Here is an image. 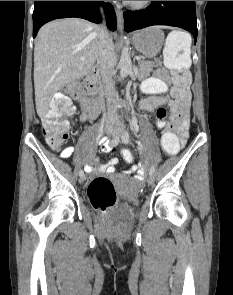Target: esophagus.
<instances>
[{
    "mask_svg": "<svg viewBox=\"0 0 233 295\" xmlns=\"http://www.w3.org/2000/svg\"><path fill=\"white\" fill-rule=\"evenodd\" d=\"M116 17H117V23H118V28L122 30L123 28V12L120 9H116Z\"/></svg>",
    "mask_w": 233,
    "mask_h": 295,
    "instance_id": "obj_1",
    "label": "esophagus"
}]
</instances>
